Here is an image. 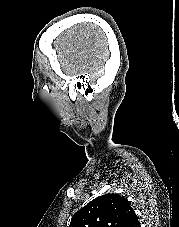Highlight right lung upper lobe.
<instances>
[{
  "mask_svg": "<svg viewBox=\"0 0 179 227\" xmlns=\"http://www.w3.org/2000/svg\"><path fill=\"white\" fill-rule=\"evenodd\" d=\"M69 227H140V223L126 198L108 193L75 213Z\"/></svg>",
  "mask_w": 179,
  "mask_h": 227,
  "instance_id": "1",
  "label": "right lung upper lobe"
}]
</instances>
